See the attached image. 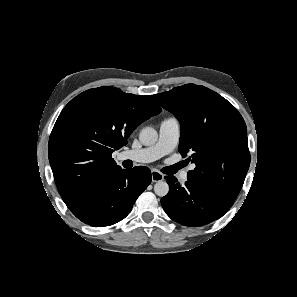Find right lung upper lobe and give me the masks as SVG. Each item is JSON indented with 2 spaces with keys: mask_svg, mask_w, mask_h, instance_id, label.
I'll return each instance as SVG.
<instances>
[{
  "mask_svg": "<svg viewBox=\"0 0 297 297\" xmlns=\"http://www.w3.org/2000/svg\"><path fill=\"white\" fill-rule=\"evenodd\" d=\"M161 112L152 95L114 87L89 89L60 113L48 144L58 191L72 210L100 182L121 169L111 157L143 121Z\"/></svg>",
  "mask_w": 297,
  "mask_h": 297,
  "instance_id": "obj_1",
  "label": "right lung upper lobe"
}]
</instances>
